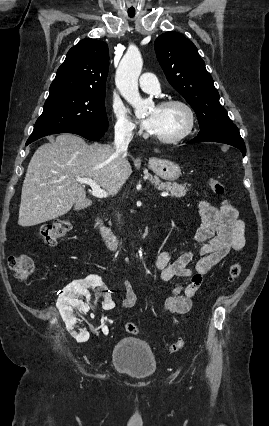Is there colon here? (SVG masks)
<instances>
[{
  "label": "colon",
  "instance_id": "1",
  "mask_svg": "<svg viewBox=\"0 0 269 426\" xmlns=\"http://www.w3.org/2000/svg\"><path fill=\"white\" fill-rule=\"evenodd\" d=\"M207 184L211 191L216 195H223L225 192L224 184L214 178H209ZM72 229V222L67 217L57 218L52 224L43 226L39 230V237L47 245H55L59 239L66 236ZM8 264L12 270L15 279L18 282H26L34 273V262L28 255H12L8 258ZM242 272V264L234 262L229 268V279H237ZM126 332L136 334L139 327L134 322L125 324ZM184 346L183 340H178L169 346L171 352H176Z\"/></svg>",
  "mask_w": 269,
  "mask_h": 426
}]
</instances>
